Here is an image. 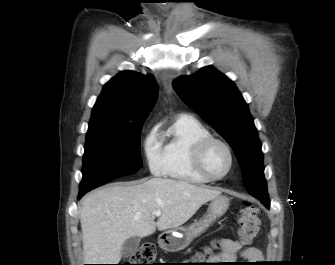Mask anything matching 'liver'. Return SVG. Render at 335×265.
<instances>
[{"mask_svg": "<svg viewBox=\"0 0 335 265\" xmlns=\"http://www.w3.org/2000/svg\"><path fill=\"white\" fill-rule=\"evenodd\" d=\"M221 191L152 178L97 189L82 201L80 223L86 264H118L124 242L177 229ZM161 215L154 221L153 212Z\"/></svg>", "mask_w": 335, "mask_h": 265, "instance_id": "obj_1", "label": "liver"}]
</instances>
